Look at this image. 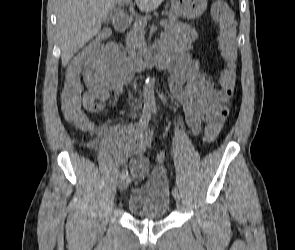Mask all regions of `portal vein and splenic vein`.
Masks as SVG:
<instances>
[{
  "label": "portal vein and splenic vein",
  "mask_w": 295,
  "mask_h": 250,
  "mask_svg": "<svg viewBox=\"0 0 295 250\" xmlns=\"http://www.w3.org/2000/svg\"><path fill=\"white\" fill-rule=\"evenodd\" d=\"M124 3L125 4H131V0H124ZM138 21H139V24L142 25V26H146V24H147V21L144 18H139ZM165 24H166L165 20L160 21V26H164Z\"/></svg>",
  "instance_id": "portal-vein-and-splenic-vein-1"
}]
</instances>
